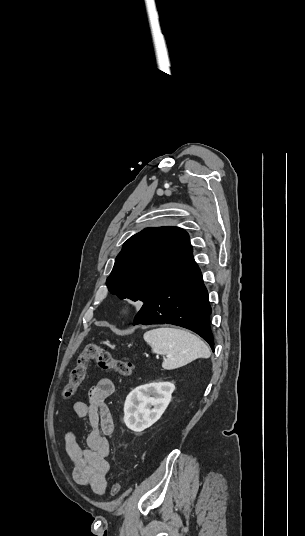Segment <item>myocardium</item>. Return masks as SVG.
<instances>
[{
    "mask_svg": "<svg viewBox=\"0 0 305 536\" xmlns=\"http://www.w3.org/2000/svg\"><path fill=\"white\" fill-rule=\"evenodd\" d=\"M134 307H135L134 302L131 299H125L124 308L126 311H132Z\"/></svg>",
    "mask_w": 305,
    "mask_h": 536,
    "instance_id": "myocardium-1",
    "label": "myocardium"
}]
</instances>
